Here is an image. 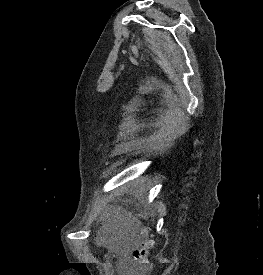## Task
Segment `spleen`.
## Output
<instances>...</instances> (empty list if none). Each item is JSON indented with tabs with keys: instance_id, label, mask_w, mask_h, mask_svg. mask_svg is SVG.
Segmentation results:
<instances>
[{
	"instance_id": "obj_1",
	"label": "spleen",
	"mask_w": 263,
	"mask_h": 275,
	"mask_svg": "<svg viewBox=\"0 0 263 275\" xmlns=\"http://www.w3.org/2000/svg\"><path fill=\"white\" fill-rule=\"evenodd\" d=\"M133 188L135 189L137 195L139 197H142L144 192H145V189H144V186H143V180H137L133 183Z\"/></svg>"
}]
</instances>
